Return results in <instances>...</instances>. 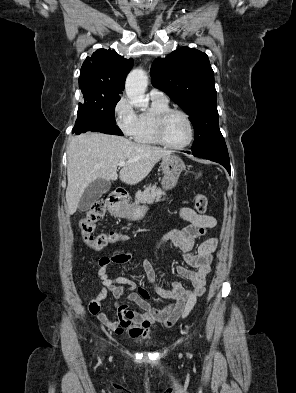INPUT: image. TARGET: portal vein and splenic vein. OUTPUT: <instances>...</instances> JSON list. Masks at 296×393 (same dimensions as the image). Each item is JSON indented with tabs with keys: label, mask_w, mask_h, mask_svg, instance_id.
<instances>
[{
	"label": "portal vein and splenic vein",
	"mask_w": 296,
	"mask_h": 393,
	"mask_svg": "<svg viewBox=\"0 0 296 393\" xmlns=\"http://www.w3.org/2000/svg\"><path fill=\"white\" fill-rule=\"evenodd\" d=\"M126 165V162L125 161H120L119 163H118V166L119 167H123V166H125Z\"/></svg>",
	"instance_id": "1"
}]
</instances>
